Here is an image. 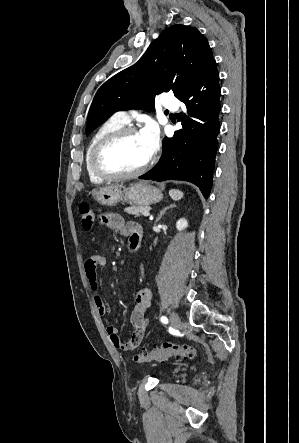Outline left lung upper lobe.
I'll list each match as a JSON object with an SVG mask.
<instances>
[{
  "label": "left lung upper lobe",
  "mask_w": 299,
  "mask_h": 443,
  "mask_svg": "<svg viewBox=\"0 0 299 443\" xmlns=\"http://www.w3.org/2000/svg\"><path fill=\"white\" fill-rule=\"evenodd\" d=\"M207 40L181 24L164 30L133 66L107 80L89 110L86 134L120 110L154 109L155 95L172 90L181 97L213 61Z\"/></svg>",
  "instance_id": "obj_1"
}]
</instances>
